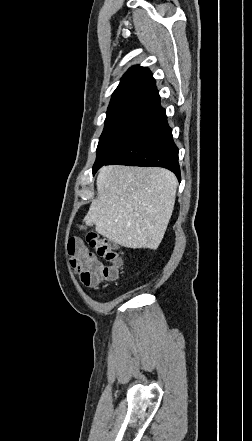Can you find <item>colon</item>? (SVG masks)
Wrapping results in <instances>:
<instances>
[{
  "instance_id": "obj_1",
  "label": "colon",
  "mask_w": 252,
  "mask_h": 441,
  "mask_svg": "<svg viewBox=\"0 0 252 441\" xmlns=\"http://www.w3.org/2000/svg\"><path fill=\"white\" fill-rule=\"evenodd\" d=\"M87 246L77 240H70L67 245L71 256V266L86 286L109 284L118 278L121 259L117 247L108 239L95 232L86 235ZM94 250L98 256L107 260L110 265H103L92 254Z\"/></svg>"
}]
</instances>
